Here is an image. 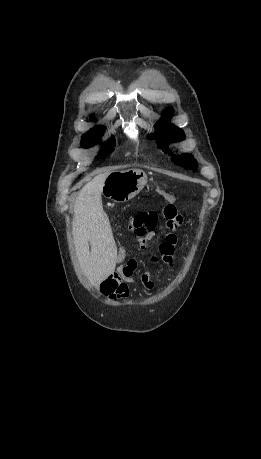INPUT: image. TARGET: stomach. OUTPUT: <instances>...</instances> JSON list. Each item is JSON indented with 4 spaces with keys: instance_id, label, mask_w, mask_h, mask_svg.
I'll return each instance as SVG.
<instances>
[{
    "instance_id": "stomach-1",
    "label": "stomach",
    "mask_w": 261,
    "mask_h": 459,
    "mask_svg": "<svg viewBox=\"0 0 261 459\" xmlns=\"http://www.w3.org/2000/svg\"><path fill=\"white\" fill-rule=\"evenodd\" d=\"M148 177L142 170L129 168L111 172L104 183L103 194L114 202H127L147 184Z\"/></svg>"
}]
</instances>
